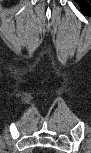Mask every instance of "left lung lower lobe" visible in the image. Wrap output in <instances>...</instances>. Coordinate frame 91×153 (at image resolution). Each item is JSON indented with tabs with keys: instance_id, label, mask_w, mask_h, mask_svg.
Listing matches in <instances>:
<instances>
[{
	"instance_id": "obj_1",
	"label": "left lung lower lobe",
	"mask_w": 91,
	"mask_h": 153,
	"mask_svg": "<svg viewBox=\"0 0 91 153\" xmlns=\"http://www.w3.org/2000/svg\"><path fill=\"white\" fill-rule=\"evenodd\" d=\"M76 2H78V4L81 5V7H82L83 6L82 3L84 2V0H76Z\"/></svg>"
}]
</instances>
